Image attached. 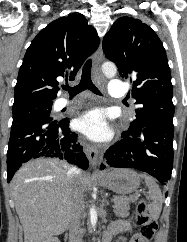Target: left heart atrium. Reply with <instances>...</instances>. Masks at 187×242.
<instances>
[{"mask_svg": "<svg viewBox=\"0 0 187 242\" xmlns=\"http://www.w3.org/2000/svg\"><path fill=\"white\" fill-rule=\"evenodd\" d=\"M77 129L92 140H106L111 135L105 114L100 109H92L76 120Z\"/></svg>", "mask_w": 187, "mask_h": 242, "instance_id": "39dd6f15", "label": "left heart atrium"}]
</instances>
